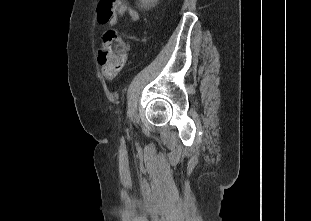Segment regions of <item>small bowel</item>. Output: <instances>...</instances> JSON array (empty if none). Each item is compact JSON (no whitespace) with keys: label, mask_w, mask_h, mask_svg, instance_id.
Instances as JSON below:
<instances>
[{"label":"small bowel","mask_w":311,"mask_h":221,"mask_svg":"<svg viewBox=\"0 0 311 221\" xmlns=\"http://www.w3.org/2000/svg\"><path fill=\"white\" fill-rule=\"evenodd\" d=\"M139 17L140 15L136 8L124 1H117L111 24H117L118 19L120 18H127L130 21H137Z\"/></svg>","instance_id":"obj_1"}]
</instances>
